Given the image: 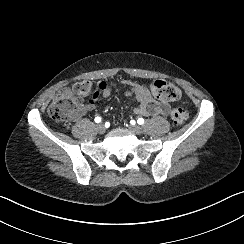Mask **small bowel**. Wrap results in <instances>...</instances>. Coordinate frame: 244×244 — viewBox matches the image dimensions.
Wrapping results in <instances>:
<instances>
[{"label":"small bowel","instance_id":"c3829d8e","mask_svg":"<svg viewBox=\"0 0 244 244\" xmlns=\"http://www.w3.org/2000/svg\"><path fill=\"white\" fill-rule=\"evenodd\" d=\"M121 83L130 87V89L126 91L125 97L127 99L134 98L137 102L135 106L131 107L133 113L142 116H167L170 113V105L165 101L154 98L145 86L126 79H122ZM99 90L102 99H108L112 94V86L105 81L100 82ZM96 108L97 103L95 101H89L76 111L74 117L81 118L85 114L95 111Z\"/></svg>","mask_w":244,"mask_h":244}]
</instances>
